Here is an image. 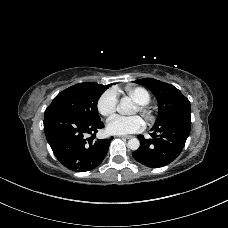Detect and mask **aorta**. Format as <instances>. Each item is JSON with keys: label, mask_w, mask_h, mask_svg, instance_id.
<instances>
[{"label": "aorta", "mask_w": 228, "mask_h": 228, "mask_svg": "<svg viewBox=\"0 0 228 228\" xmlns=\"http://www.w3.org/2000/svg\"><path fill=\"white\" fill-rule=\"evenodd\" d=\"M133 108V102L129 98L125 97L120 101L117 110L121 114L130 115L133 113ZM139 146L140 141L137 138H131L128 141V148H130L131 150H137Z\"/></svg>", "instance_id": "1"}]
</instances>
